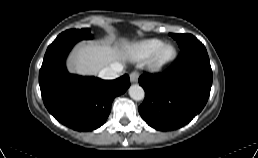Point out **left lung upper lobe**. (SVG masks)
Listing matches in <instances>:
<instances>
[{"label":"left lung upper lobe","mask_w":258,"mask_h":158,"mask_svg":"<svg viewBox=\"0 0 258 158\" xmlns=\"http://www.w3.org/2000/svg\"><path fill=\"white\" fill-rule=\"evenodd\" d=\"M169 35L172 36L177 41L180 49H183L186 46H188L191 43L198 40L196 37H194L191 34H173V33H170Z\"/></svg>","instance_id":"obj_1"}]
</instances>
